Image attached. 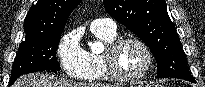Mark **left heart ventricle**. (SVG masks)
<instances>
[{"mask_svg":"<svg viewBox=\"0 0 205 87\" xmlns=\"http://www.w3.org/2000/svg\"><path fill=\"white\" fill-rule=\"evenodd\" d=\"M117 65L122 73L136 75L146 65V55L143 49L135 43L125 44L117 54Z\"/></svg>","mask_w":205,"mask_h":87,"instance_id":"obj_1","label":"left heart ventricle"}]
</instances>
